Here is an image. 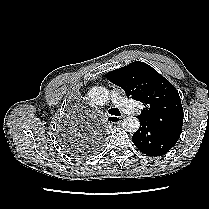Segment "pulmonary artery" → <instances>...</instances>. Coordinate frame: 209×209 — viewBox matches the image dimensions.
<instances>
[{
  "label": "pulmonary artery",
  "mask_w": 209,
  "mask_h": 209,
  "mask_svg": "<svg viewBox=\"0 0 209 209\" xmlns=\"http://www.w3.org/2000/svg\"><path fill=\"white\" fill-rule=\"evenodd\" d=\"M112 102L115 106L119 107L125 113L136 114L138 109L137 107L127 98L123 97L119 91L114 90L111 92Z\"/></svg>",
  "instance_id": "1"
}]
</instances>
